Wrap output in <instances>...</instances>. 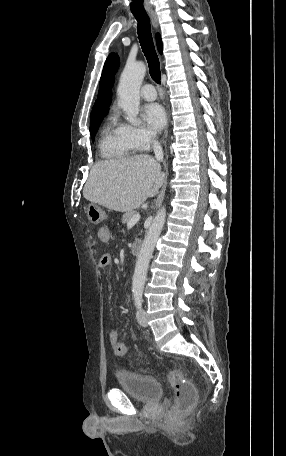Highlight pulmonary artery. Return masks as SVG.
<instances>
[{
	"mask_svg": "<svg viewBox=\"0 0 286 456\" xmlns=\"http://www.w3.org/2000/svg\"><path fill=\"white\" fill-rule=\"evenodd\" d=\"M141 97L147 101H153L157 98V93L152 84H145L140 90Z\"/></svg>",
	"mask_w": 286,
	"mask_h": 456,
	"instance_id": "e3ab8cb5",
	"label": "pulmonary artery"
}]
</instances>
